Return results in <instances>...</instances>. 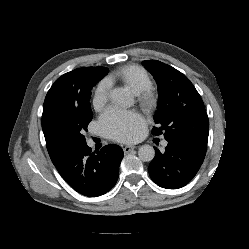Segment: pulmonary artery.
<instances>
[{"instance_id": "e3ab8cb5", "label": "pulmonary artery", "mask_w": 249, "mask_h": 249, "mask_svg": "<svg viewBox=\"0 0 249 249\" xmlns=\"http://www.w3.org/2000/svg\"><path fill=\"white\" fill-rule=\"evenodd\" d=\"M167 144H168L167 141H163V142H162V145H163L164 147L167 146Z\"/></svg>"}]
</instances>
